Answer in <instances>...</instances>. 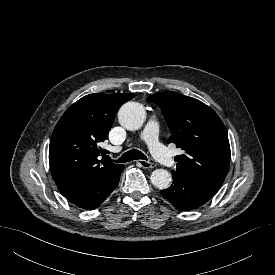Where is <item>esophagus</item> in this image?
<instances>
[{
    "mask_svg": "<svg viewBox=\"0 0 275 275\" xmlns=\"http://www.w3.org/2000/svg\"><path fill=\"white\" fill-rule=\"evenodd\" d=\"M137 163L145 169L152 168L153 166V164L147 160H138Z\"/></svg>",
    "mask_w": 275,
    "mask_h": 275,
    "instance_id": "obj_1",
    "label": "esophagus"
}]
</instances>
